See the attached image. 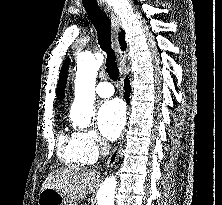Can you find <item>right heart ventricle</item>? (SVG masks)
<instances>
[{
	"mask_svg": "<svg viewBox=\"0 0 222 205\" xmlns=\"http://www.w3.org/2000/svg\"><path fill=\"white\" fill-rule=\"evenodd\" d=\"M57 154L59 159L68 166L76 167L88 163L78 146L75 133H60L58 137Z\"/></svg>",
	"mask_w": 222,
	"mask_h": 205,
	"instance_id": "e07e8e85",
	"label": "right heart ventricle"
}]
</instances>
